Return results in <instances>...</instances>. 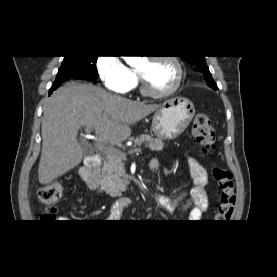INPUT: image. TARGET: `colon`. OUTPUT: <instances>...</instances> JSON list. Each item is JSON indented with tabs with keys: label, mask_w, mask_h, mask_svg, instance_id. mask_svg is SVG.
<instances>
[{
	"label": "colon",
	"mask_w": 277,
	"mask_h": 277,
	"mask_svg": "<svg viewBox=\"0 0 277 277\" xmlns=\"http://www.w3.org/2000/svg\"><path fill=\"white\" fill-rule=\"evenodd\" d=\"M192 133L196 142L204 152H209L215 147V130L210 118L204 113H198L192 125ZM213 177L219 189V200L215 212L217 222L228 221L234 210L235 192L234 182L230 171L224 167H215L212 170ZM63 194L62 184L58 181L43 186L38 193L40 201L46 206L40 219L43 222L56 220L57 203Z\"/></svg>",
	"instance_id": "1"
}]
</instances>
